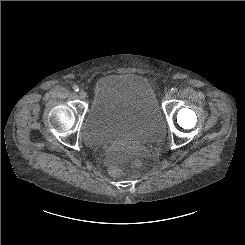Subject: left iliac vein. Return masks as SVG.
Returning <instances> with one entry per match:
<instances>
[{
  "label": "left iliac vein",
  "instance_id": "1",
  "mask_svg": "<svg viewBox=\"0 0 245 245\" xmlns=\"http://www.w3.org/2000/svg\"><path fill=\"white\" fill-rule=\"evenodd\" d=\"M172 96V93L170 91H168L166 94H165V99H170Z\"/></svg>",
  "mask_w": 245,
  "mask_h": 245
}]
</instances>
